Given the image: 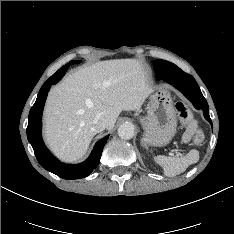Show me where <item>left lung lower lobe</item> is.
Wrapping results in <instances>:
<instances>
[{"mask_svg":"<svg viewBox=\"0 0 234 234\" xmlns=\"http://www.w3.org/2000/svg\"><path fill=\"white\" fill-rule=\"evenodd\" d=\"M163 79L179 89L193 103L196 109H202L204 111L205 118L212 125V121L209 117L207 101L202 95L197 82L191 75L181 72L177 75L165 76Z\"/></svg>","mask_w":234,"mask_h":234,"instance_id":"0a47b994","label":"left lung lower lobe"}]
</instances>
